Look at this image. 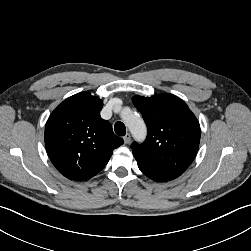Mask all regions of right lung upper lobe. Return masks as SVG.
<instances>
[{"label":"right lung upper lobe","mask_w":251,"mask_h":251,"mask_svg":"<svg viewBox=\"0 0 251 251\" xmlns=\"http://www.w3.org/2000/svg\"><path fill=\"white\" fill-rule=\"evenodd\" d=\"M103 102L88 92L75 94L49 116L45 146L50 160L65 177L85 181L100 172L113 150L124 141L100 116Z\"/></svg>","instance_id":"right-lung-upper-lobe-1"}]
</instances>
